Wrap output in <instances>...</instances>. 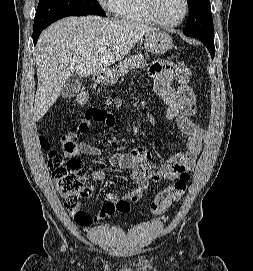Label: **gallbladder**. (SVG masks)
<instances>
[{
	"mask_svg": "<svg viewBox=\"0 0 253 271\" xmlns=\"http://www.w3.org/2000/svg\"><path fill=\"white\" fill-rule=\"evenodd\" d=\"M82 85L81 77L77 74H73L71 77H69L62 90H61V97L63 99H70L72 97H75L77 93L80 91Z\"/></svg>",
	"mask_w": 253,
	"mask_h": 271,
	"instance_id": "obj_1",
	"label": "gallbladder"
}]
</instances>
